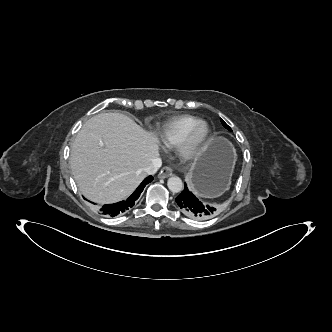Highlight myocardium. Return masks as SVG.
Wrapping results in <instances>:
<instances>
[{"label": "myocardium", "instance_id": "1", "mask_svg": "<svg viewBox=\"0 0 332 332\" xmlns=\"http://www.w3.org/2000/svg\"><path fill=\"white\" fill-rule=\"evenodd\" d=\"M200 134L198 135V133ZM212 136L209 124L205 121L196 123L177 145L179 156L186 161L198 158L204 151Z\"/></svg>", "mask_w": 332, "mask_h": 332}]
</instances>
